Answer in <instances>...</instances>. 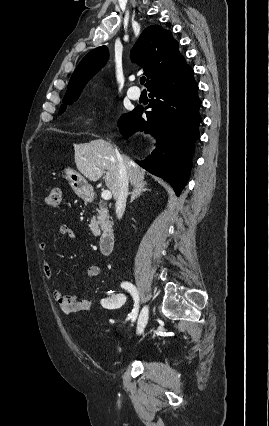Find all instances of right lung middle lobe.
Returning a JSON list of instances; mask_svg holds the SVG:
<instances>
[{
    "instance_id": "dd1d6c3e",
    "label": "right lung middle lobe",
    "mask_w": 269,
    "mask_h": 426,
    "mask_svg": "<svg viewBox=\"0 0 269 426\" xmlns=\"http://www.w3.org/2000/svg\"><path fill=\"white\" fill-rule=\"evenodd\" d=\"M78 99V96L77 97H73V98H67V99H63V105L61 106V108H60V113H62V112H64L65 111V109H66V105H70V104H72L74 101H76ZM126 115H123L121 118H120V120H119V122L118 123H120L121 121H122V119L125 117Z\"/></svg>"
}]
</instances>
